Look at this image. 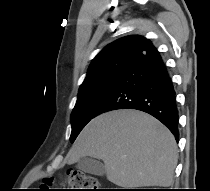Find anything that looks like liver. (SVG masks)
Masks as SVG:
<instances>
[{
    "label": "liver",
    "instance_id": "6515ba94",
    "mask_svg": "<svg viewBox=\"0 0 210 191\" xmlns=\"http://www.w3.org/2000/svg\"><path fill=\"white\" fill-rule=\"evenodd\" d=\"M91 156L102 159L107 179L120 187H169L177 165L171 132L154 117L132 109L92 119L67 155L69 165Z\"/></svg>",
    "mask_w": 210,
    "mask_h": 191
}]
</instances>
